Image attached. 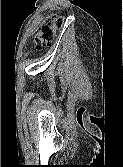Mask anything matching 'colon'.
<instances>
[{"instance_id":"colon-1","label":"colon","mask_w":123,"mask_h":167,"mask_svg":"<svg viewBox=\"0 0 123 167\" xmlns=\"http://www.w3.org/2000/svg\"><path fill=\"white\" fill-rule=\"evenodd\" d=\"M63 25V18L54 16L52 20L43 25L34 38L36 48H43L55 40L57 30Z\"/></svg>"}]
</instances>
